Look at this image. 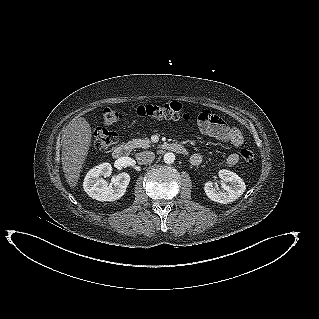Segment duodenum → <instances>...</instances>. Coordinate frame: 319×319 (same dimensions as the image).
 I'll return each mask as SVG.
<instances>
[{
  "instance_id": "410a0bca",
  "label": "duodenum",
  "mask_w": 319,
  "mask_h": 319,
  "mask_svg": "<svg viewBox=\"0 0 319 319\" xmlns=\"http://www.w3.org/2000/svg\"><path fill=\"white\" fill-rule=\"evenodd\" d=\"M164 149L178 153V154H185L186 149L184 146L178 143L169 142L164 144ZM130 146L128 143H121L116 146L112 152V156L114 159H122L125 158L129 154Z\"/></svg>"
}]
</instances>
